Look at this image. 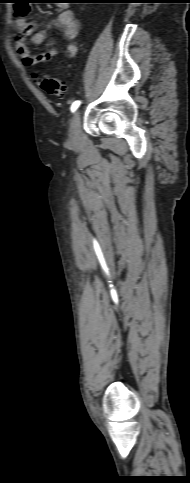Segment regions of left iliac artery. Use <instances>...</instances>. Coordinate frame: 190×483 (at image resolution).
<instances>
[{
  "mask_svg": "<svg viewBox=\"0 0 190 483\" xmlns=\"http://www.w3.org/2000/svg\"><path fill=\"white\" fill-rule=\"evenodd\" d=\"M80 104H81V102L78 101V100L73 102L72 105H71V111L75 112L77 110V108L80 106Z\"/></svg>",
  "mask_w": 190,
  "mask_h": 483,
  "instance_id": "obj_1",
  "label": "left iliac artery"
}]
</instances>
